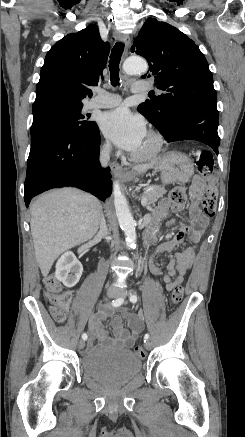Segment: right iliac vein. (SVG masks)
<instances>
[{
  "instance_id": "obj_1",
  "label": "right iliac vein",
  "mask_w": 245,
  "mask_h": 437,
  "mask_svg": "<svg viewBox=\"0 0 245 437\" xmlns=\"http://www.w3.org/2000/svg\"><path fill=\"white\" fill-rule=\"evenodd\" d=\"M107 295H108V297H118L119 296V292H117L116 290H113V289H109L107 291ZM84 346H85V341L84 340H80L79 343H78V348L79 349H83Z\"/></svg>"
}]
</instances>
